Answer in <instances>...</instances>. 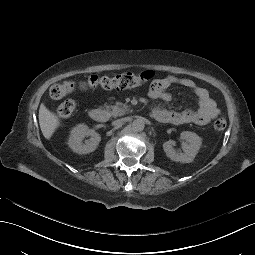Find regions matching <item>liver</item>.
<instances>
[{
  "label": "liver",
  "mask_w": 255,
  "mask_h": 255,
  "mask_svg": "<svg viewBox=\"0 0 255 255\" xmlns=\"http://www.w3.org/2000/svg\"><path fill=\"white\" fill-rule=\"evenodd\" d=\"M39 125L46 140L51 138L62 125V121L55 112L50 111L44 103L39 108Z\"/></svg>",
  "instance_id": "6515ba94"
}]
</instances>
